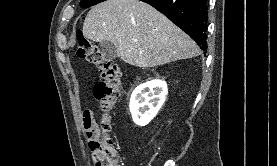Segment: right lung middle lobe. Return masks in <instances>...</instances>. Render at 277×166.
Segmentation results:
<instances>
[{
	"instance_id": "dd1d6c3e",
	"label": "right lung middle lobe",
	"mask_w": 277,
	"mask_h": 166,
	"mask_svg": "<svg viewBox=\"0 0 277 166\" xmlns=\"http://www.w3.org/2000/svg\"><path fill=\"white\" fill-rule=\"evenodd\" d=\"M103 1L105 0H81L79 5L81 8H88Z\"/></svg>"
}]
</instances>
